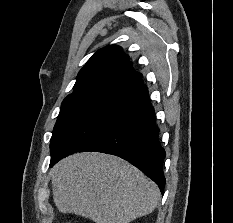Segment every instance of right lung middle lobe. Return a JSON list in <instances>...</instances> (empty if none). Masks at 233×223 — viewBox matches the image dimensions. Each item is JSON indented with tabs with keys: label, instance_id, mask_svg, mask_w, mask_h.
Segmentation results:
<instances>
[{
	"label": "right lung middle lobe",
	"instance_id": "obj_1",
	"mask_svg": "<svg viewBox=\"0 0 233 223\" xmlns=\"http://www.w3.org/2000/svg\"><path fill=\"white\" fill-rule=\"evenodd\" d=\"M123 93L91 92L67 96L51 138V153L72 154L106 128L123 110Z\"/></svg>",
	"mask_w": 233,
	"mask_h": 223
}]
</instances>
